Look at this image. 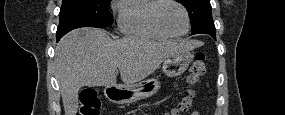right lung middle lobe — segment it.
Returning <instances> with one entry per match:
<instances>
[{"label": "right lung middle lobe", "mask_w": 285, "mask_h": 115, "mask_svg": "<svg viewBox=\"0 0 285 115\" xmlns=\"http://www.w3.org/2000/svg\"><path fill=\"white\" fill-rule=\"evenodd\" d=\"M111 0H63L60 23L56 36L62 37L79 27H109L113 15L109 10Z\"/></svg>", "instance_id": "obj_1"}]
</instances>
